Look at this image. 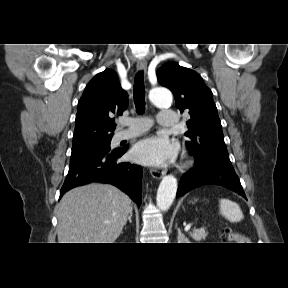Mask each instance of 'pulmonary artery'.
<instances>
[{"instance_id": "1", "label": "pulmonary artery", "mask_w": 288, "mask_h": 288, "mask_svg": "<svg viewBox=\"0 0 288 288\" xmlns=\"http://www.w3.org/2000/svg\"><path fill=\"white\" fill-rule=\"evenodd\" d=\"M177 123V114L169 109H162L159 112L158 124L163 127H175ZM150 127V121L147 118H134L129 121V128L119 131L114 140L116 142L142 134Z\"/></svg>"}]
</instances>
